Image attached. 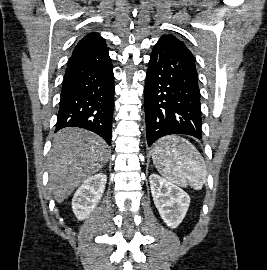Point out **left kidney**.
<instances>
[{
  "mask_svg": "<svg viewBox=\"0 0 267 270\" xmlns=\"http://www.w3.org/2000/svg\"><path fill=\"white\" fill-rule=\"evenodd\" d=\"M149 182L153 201L161 218L168 227H178L189 208V195L157 174H151Z\"/></svg>",
  "mask_w": 267,
  "mask_h": 270,
  "instance_id": "obj_1",
  "label": "left kidney"
}]
</instances>
